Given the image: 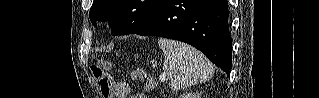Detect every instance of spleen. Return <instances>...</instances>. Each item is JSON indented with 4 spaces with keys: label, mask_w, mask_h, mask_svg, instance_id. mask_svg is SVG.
I'll return each mask as SVG.
<instances>
[{
    "label": "spleen",
    "mask_w": 319,
    "mask_h": 98,
    "mask_svg": "<svg viewBox=\"0 0 319 98\" xmlns=\"http://www.w3.org/2000/svg\"><path fill=\"white\" fill-rule=\"evenodd\" d=\"M158 45L164 53L163 70L172 90H184L212 78V63L197 49L163 38L159 39Z\"/></svg>",
    "instance_id": "1"
}]
</instances>
